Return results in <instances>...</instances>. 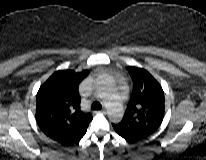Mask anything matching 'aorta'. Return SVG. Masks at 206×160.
<instances>
[{"instance_id":"762f6f07","label":"aorta","mask_w":206,"mask_h":160,"mask_svg":"<svg viewBox=\"0 0 206 160\" xmlns=\"http://www.w3.org/2000/svg\"><path fill=\"white\" fill-rule=\"evenodd\" d=\"M105 105L109 118L113 122H118L122 119L124 108L120 97L112 92L109 97L105 98Z\"/></svg>"}]
</instances>
